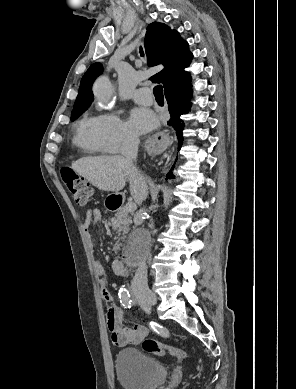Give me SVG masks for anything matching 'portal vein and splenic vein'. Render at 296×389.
I'll return each instance as SVG.
<instances>
[{"label": "portal vein and splenic vein", "mask_w": 296, "mask_h": 389, "mask_svg": "<svg viewBox=\"0 0 296 389\" xmlns=\"http://www.w3.org/2000/svg\"><path fill=\"white\" fill-rule=\"evenodd\" d=\"M137 208L136 203L128 202L125 206V209L129 212L134 211Z\"/></svg>", "instance_id": "1"}]
</instances>
